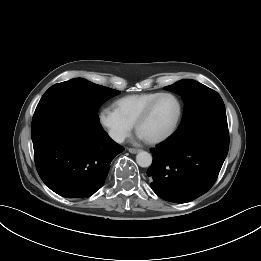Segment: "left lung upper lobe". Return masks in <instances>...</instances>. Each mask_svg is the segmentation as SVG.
<instances>
[{
	"instance_id": "left-lung-upper-lobe-1",
	"label": "left lung upper lobe",
	"mask_w": 261,
	"mask_h": 261,
	"mask_svg": "<svg viewBox=\"0 0 261 261\" xmlns=\"http://www.w3.org/2000/svg\"><path fill=\"white\" fill-rule=\"evenodd\" d=\"M182 96L185 103L184 115L176 132L193 129L205 122L226 118L225 106L220 95L194 80H180L164 87Z\"/></svg>"
}]
</instances>
